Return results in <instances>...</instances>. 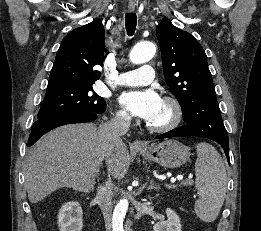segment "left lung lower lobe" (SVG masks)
<instances>
[{
  "label": "left lung lower lobe",
  "instance_id": "1",
  "mask_svg": "<svg viewBox=\"0 0 261 231\" xmlns=\"http://www.w3.org/2000/svg\"><path fill=\"white\" fill-rule=\"evenodd\" d=\"M184 136H198V137L209 138L205 134H203L202 132L195 129L194 127L184 125L182 127L171 130L167 133L161 134V135L157 136L156 139L171 138V137H184ZM209 139H212V138H209ZM212 140L216 141L217 143H219L224 148V152L226 154L227 160L229 161V142H228V139H226V138L220 139V138L214 137Z\"/></svg>",
  "mask_w": 261,
  "mask_h": 231
}]
</instances>
